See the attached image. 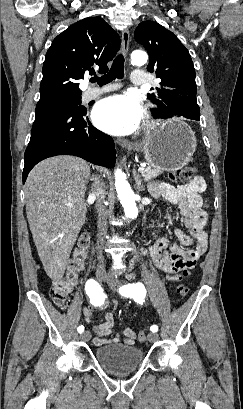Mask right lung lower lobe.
<instances>
[{
  "label": "right lung lower lobe",
  "instance_id": "right-lung-lower-lobe-1",
  "mask_svg": "<svg viewBox=\"0 0 243 409\" xmlns=\"http://www.w3.org/2000/svg\"><path fill=\"white\" fill-rule=\"evenodd\" d=\"M114 148L113 139L90 123L86 109L37 105L24 155L23 183L38 162L56 155H74L112 168L116 159Z\"/></svg>",
  "mask_w": 243,
  "mask_h": 409
}]
</instances>
